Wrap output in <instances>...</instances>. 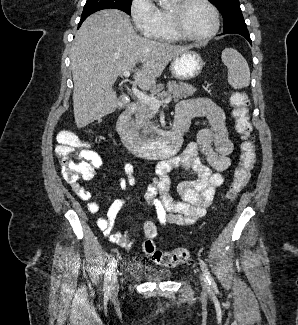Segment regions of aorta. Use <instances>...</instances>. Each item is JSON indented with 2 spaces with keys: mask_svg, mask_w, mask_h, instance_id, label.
<instances>
[{
  "mask_svg": "<svg viewBox=\"0 0 298 325\" xmlns=\"http://www.w3.org/2000/svg\"><path fill=\"white\" fill-rule=\"evenodd\" d=\"M158 4H160V6H163V8H165V6H169V4H171V0H158Z\"/></svg>",
  "mask_w": 298,
  "mask_h": 325,
  "instance_id": "obj_1",
  "label": "aorta"
}]
</instances>
